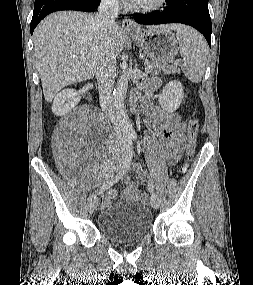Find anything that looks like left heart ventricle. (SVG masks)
<instances>
[{
    "label": "left heart ventricle",
    "mask_w": 253,
    "mask_h": 285,
    "mask_svg": "<svg viewBox=\"0 0 253 285\" xmlns=\"http://www.w3.org/2000/svg\"><path fill=\"white\" fill-rule=\"evenodd\" d=\"M154 1L155 0H134L133 3H136V4H148V3H152Z\"/></svg>",
    "instance_id": "left-heart-ventricle-1"
}]
</instances>
